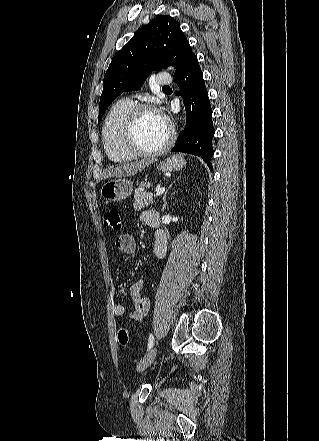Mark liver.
<instances>
[{"instance_id":"6515ba94","label":"liver","mask_w":319,"mask_h":441,"mask_svg":"<svg viewBox=\"0 0 319 441\" xmlns=\"http://www.w3.org/2000/svg\"><path fill=\"white\" fill-rule=\"evenodd\" d=\"M154 159H143L141 161L128 162L120 165L108 167L104 173V178L132 176L151 165Z\"/></svg>"}]
</instances>
